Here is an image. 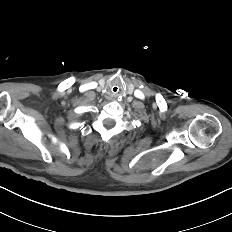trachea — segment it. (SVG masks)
I'll return each mask as SVG.
<instances>
[{
    "label": "trachea",
    "mask_w": 232,
    "mask_h": 232,
    "mask_svg": "<svg viewBox=\"0 0 232 232\" xmlns=\"http://www.w3.org/2000/svg\"><path fill=\"white\" fill-rule=\"evenodd\" d=\"M110 91H111V93H113V94H118V93L121 91V88H120V86H118V85H113V86L110 88Z\"/></svg>",
    "instance_id": "1"
}]
</instances>
